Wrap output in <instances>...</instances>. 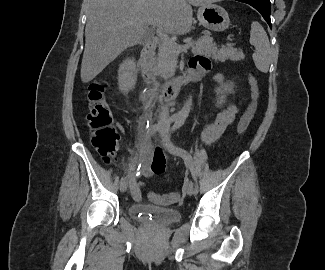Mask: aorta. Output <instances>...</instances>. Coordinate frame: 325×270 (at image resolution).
Wrapping results in <instances>:
<instances>
[{"instance_id": "obj_1", "label": "aorta", "mask_w": 325, "mask_h": 270, "mask_svg": "<svg viewBox=\"0 0 325 270\" xmlns=\"http://www.w3.org/2000/svg\"><path fill=\"white\" fill-rule=\"evenodd\" d=\"M191 110V101L187 100L180 112H178L177 116L179 119L184 120L188 116Z\"/></svg>"}]
</instances>
